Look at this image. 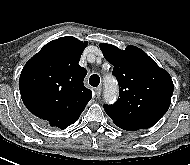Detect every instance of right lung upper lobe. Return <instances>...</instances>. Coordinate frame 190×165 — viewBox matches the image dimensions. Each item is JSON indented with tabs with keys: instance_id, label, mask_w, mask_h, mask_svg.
Segmentation results:
<instances>
[{
	"instance_id": "1",
	"label": "right lung upper lobe",
	"mask_w": 190,
	"mask_h": 165,
	"mask_svg": "<svg viewBox=\"0 0 190 165\" xmlns=\"http://www.w3.org/2000/svg\"><path fill=\"white\" fill-rule=\"evenodd\" d=\"M87 42L61 37L46 44L24 66L19 89L27 109L52 127L75 123L92 98L83 80L87 70L79 65Z\"/></svg>"
}]
</instances>
